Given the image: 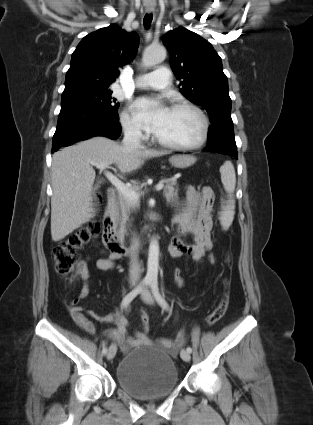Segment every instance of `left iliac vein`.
<instances>
[{"label": "left iliac vein", "instance_id": "left-iliac-vein-1", "mask_svg": "<svg viewBox=\"0 0 313 425\" xmlns=\"http://www.w3.org/2000/svg\"><path fill=\"white\" fill-rule=\"evenodd\" d=\"M141 297H142V299H143L146 303H148V304H152V303H153L152 296H151V294H150V292H149V290H148V289H144V290L142 291V293H141ZM180 356H181V358H182L184 361H186V362H188V361L190 360V358H191L190 353H189L187 350H185V349H182V350H181V352H180Z\"/></svg>", "mask_w": 313, "mask_h": 425}]
</instances>
